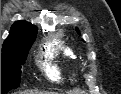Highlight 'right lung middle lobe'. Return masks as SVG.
Wrapping results in <instances>:
<instances>
[{
  "mask_svg": "<svg viewBox=\"0 0 121 94\" xmlns=\"http://www.w3.org/2000/svg\"><path fill=\"white\" fill-rule=\"evenodd\" d=\"M36 34L20 41L3 45L1 54V94L19 86L21 66L25 63L26 56L36 38Z\"/></svg>",
  "mask_w": 121,
  "mask_h": 94,
  "instance_id": "right-lung-middle-lobe-1",
  "label": "right lung middle lobe"
}]
</instances>
